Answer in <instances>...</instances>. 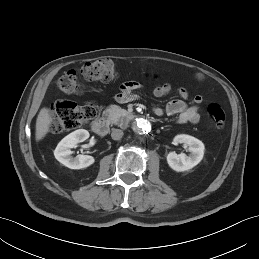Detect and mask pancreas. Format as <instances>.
Wrapping results in <instances>:
<instances>
[{
    "mask_svg": "<svg viewBox=\"0 0 259 259\" xmlns=\"http://www.w3.org/2000/svg\"><path fill=\"white\" fill-rule=\"evenodd\" d=\"M103 115L112 124L126 126L131 114L118 106H110L105 109Z\"/></svg>",
    "mask_w": 259,
    "mask_h": 259,
    "instance_id": "pancreas-1",
    "label": "pancreas"
}]
</instances>
